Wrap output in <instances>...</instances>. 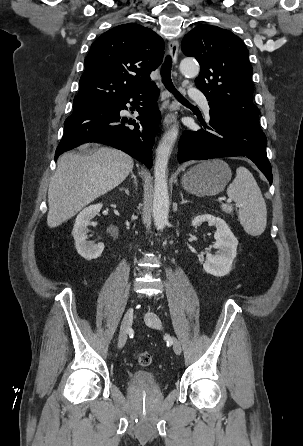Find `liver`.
Returning a JSON list of instances; mask_svg holds the SVG:
<instances>
[{"instance_id":"6515ba94","label":"liver","mask_w":303,"mask_h":446,"mask_svg":"<svg viewBox=\"0 0 303 446\" xmlns=\"http://www.w3.org/2000/svg\"><path fill=\"white\" fill-rule=\"evenodd\" d=\"M133 166L129 155L110 147H97L92 154H63L49 184L47 225L54 228L72 218L123 182Z\"/></svg>"}]
</instances>
